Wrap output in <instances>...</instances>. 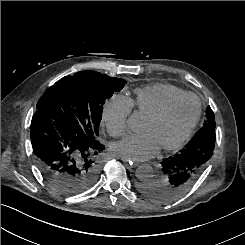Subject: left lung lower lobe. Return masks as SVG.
Returning <instances> with one entry per match:
<instances>
[{
    "label": "left lung lower lobe",
    "instance_id": "0a47b994",
    "mask_svg": "<svg viewBox=\"0 0 245 245\" xmlns=\"http://www.w3.org/2000/svg\"><path fill=\"white\" fill-rule=\"evenodd\" d=\"M215 128L200 129L179 153L161 162L160 174L141 185L150 199L165 202L184 193L204 171L215 147Z\"/></svg>",
    "mask_w": 245,
    "mask_h": 245
}]
</instances>
